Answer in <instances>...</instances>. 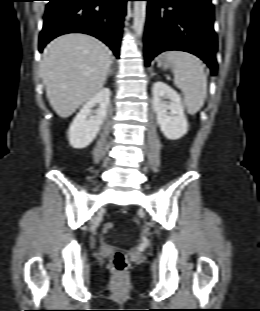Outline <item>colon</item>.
I'll return each instance as SVG.
<instances>
[{"label": "colon", "mask_w": 260, "mask_h": 311, "mask_svg": "<svg viewBox=\"0 0 260 311\" xmlns=\"http://www.w3.org/2000/svg\"><path fill=\"white\" fill-rule=\"evenodd\" d=\"M113 227V223L107 222L103 226V232L105 234L109 233L113 229ZM110 263L112 268L118 273L124 272L128 266V260L126 256L120 251H115L112 253Z\"/></svg>", "instance_id": "1"}]
</instances>
